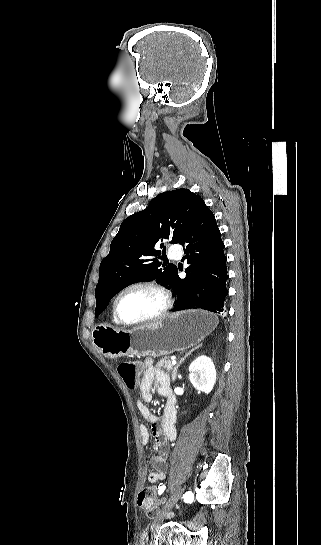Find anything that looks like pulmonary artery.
<instances>
[{"instance_id":"pulmonary-artery-1","label":"pulmonary artery","mask_w":321,"mask_h":545,"mask_svg":"<svg viewBox=\"0 0 321 545\" xmlns=\"http://www.w3.org/2000/svg\"><path fill=\"white\" fill-rule=\"evenodd\" d=\"M181 254V249L179 246H170L169 249L165 252V259L167 261H174Z\"/></svg>"}]
</instances>
